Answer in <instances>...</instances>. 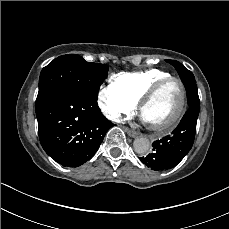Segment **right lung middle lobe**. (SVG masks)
<instances>
[{"label": "right lung middle lobe", "instance_id": "1", "mask_svg": "<svg viewBox=\"0 0 229 229\" xmlns=\"http://www.w3.org/2000/svg\"><path fill=\"white\" fill-rule=\"evenodd\" d=\"M108 70V66L86 62L77 54L60 56L42 69L35 106L53 91L65 87L77 88L96 98Z\"/></svg>", "mask_w": 229, "mask_h": 229}]
</instances>
